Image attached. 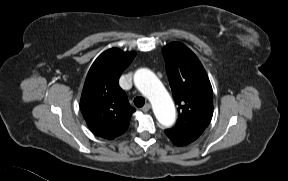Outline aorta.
I'll return each mask as SVG.
<instances>
[{"mask_svg":"<svg viewBox=\"0 0 288 181\" xmlns=\"http://www.w3.org/2000/svg\"><path fill=\"white\" fill-rule=\"evenodd\" d=\"M134 83L151 102L158 122L170 127L175 122V106L159 78L149 69L141 68L135 72Z\"/></svg>","mask_w":288,"mask_h":181,"instance_id":"762f6f07","label":"aorta"}]
</instances>
